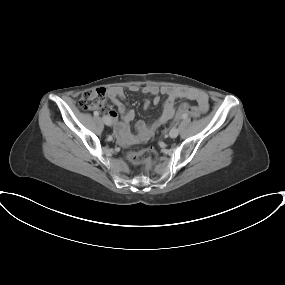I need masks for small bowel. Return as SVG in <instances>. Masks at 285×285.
Here are the masks:
<instances>
[{"label":"small bowel","instance_id":"c3829d8e","mask_svg":"<svg viewBox=\"0 0 285 285\" xmlns=\"http://www.w3.org/2000/svg\"><path fill=\"white\" fill-rule=\"evenodd\" d=\"M138 89L137 86L130 87L132 92H137ZM142 91L145 94L154 96L152 102L155 105L160 102V93L166 95V100L163 105L162 113L157 120L150 124L144 121H138L135 126L137 134L134 135L131 133L130 124L135 117V113L126 106L124 90L121 87H111L107 90L110 101L117 109V111L110 110L108 115L115 122V134L117 138L124 145H133L150 139L161 125L167 123L174 116L175 101L177 98H186L195 101L202 112H206L209 107L208 97L202 92H180L168 87L159 88L156 85H147L143 87ZM149 105L150 101L145 100L144 107L148 108ZM187 106V103H182L180 108L183 109ZM118 115H120V120H118Z\"/></svg>","mask_w":285,"mask_h":285}]
</instances>
